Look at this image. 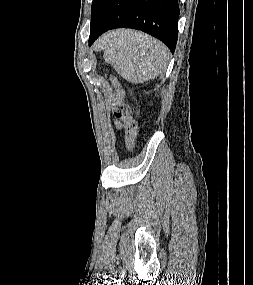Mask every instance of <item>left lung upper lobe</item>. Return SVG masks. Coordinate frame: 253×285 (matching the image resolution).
<instances>
[{
  "label": "left lung upper lobe",
  "mask_w": 253,
  "mask_h": 285,
  "mask_svg": "<svg viewBox=\"0 0 253 285\" xmlns=\"http://www.w3.org/2000/svg\"><path fill=\"white\" fill-rule=\"evenodd\" d=\"M107 1L108 0H93L91 8V26L100 15Z\"/></svg>",
  "instance_id": "5c2ea615"
}]
</instances>
